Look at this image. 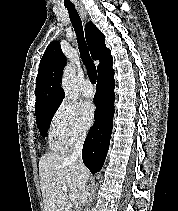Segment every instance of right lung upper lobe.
Wrapping results in <instances>:
<instances>
[{
	"label": "right lung upper lobe",
	"instance_id": "1",
	"mask_svg": "<svg viewBox=\"0 0 178 211\" xmlns=\"http://www.w3.org/2000/svg\"><path fill=\"white\" fill-rule=\"evenodd\" d=\"M85 36L93 59L100 60L97 66L98 77L112 72L113 58L105 45L103 33L92 22H88L85 26ZM65 65L66 59L60 43L51 42L40 61L36 78L35 114L47 107L61 104L64 93L60 81Z\"/></svg>",
	"mask_w": 178,
	"mask_h": 211
}]
</instances>
